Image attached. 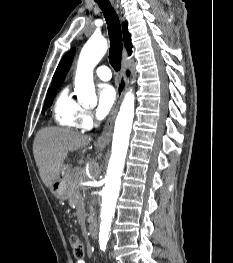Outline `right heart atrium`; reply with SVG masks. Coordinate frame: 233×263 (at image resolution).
<instances>
[{
	"mask_svg": "<svg viewBox=\"0 0 233 263\" xmlns=\"http://www.w3.org/2000/svg\"><path fill=\"white\" fill-rule=\"evenodd\" d=\"M79 126L83 130H88L93 126V115L90 110L82 108L79 117Z\"/></svg>",
	"mask_w": 233,
	"mask_h": 263,
	"instance_id": "d8ad5b80",
	"label": "right heart atrium"
}]
</instances>
